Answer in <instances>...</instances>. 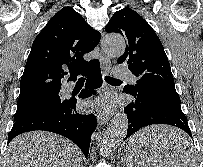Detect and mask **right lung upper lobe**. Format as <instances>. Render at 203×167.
<instances>
[{
    "instance_id": "obj_1",
    "label": "right lung upper lobe",
    "mask_w": 203,
    "mask_h": 167,
    "mask_svg": "<svg viewBox=\"0 0 203 167\" xmlns=\"http://www.w3.org/2000/svg\"><path fill=\"white\" fill-rule=\"evenodd\" d=\"M101 34L88 25L71 7L57 12L35 38L20 81L17 106L59 93L61 79L68 80L94 68L98 60L85 61L83 55L98 44Z\"/></svg>"
}]
</instances>
